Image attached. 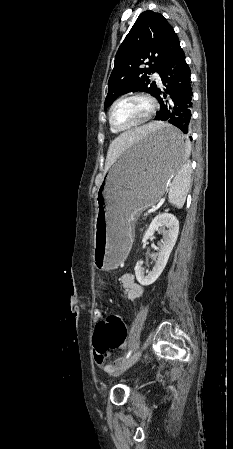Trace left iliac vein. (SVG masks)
<instances>
[{
    "mask_svg": "<svg viewBox=\"0 0 233 449\" xmlns=\"http://www.w3.org/2000/svg\"><path fill=\"white\" fill-rule=\"evenodd\" d=\"M141 354H142V351L139 350V351H137L133 356H131V357L127 360V362L124 364V366L122 367L120 373L126 371V370L129 369L133 364H135V363L139 360Z\"/></svg>",
    "mask_w": 233,
    "mask_h": 449,
    "instance_id": "obj_1",
    "label": "left iliac vein"
}]
</instances>
